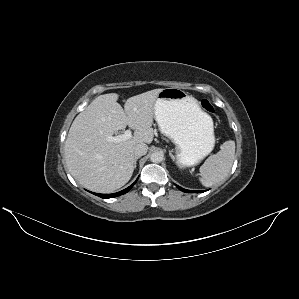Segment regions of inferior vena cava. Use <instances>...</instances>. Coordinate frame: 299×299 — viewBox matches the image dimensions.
<instances>
[{
	"instance_id": "obj_1",
	"label": "inferior vena cava",
	"mask_w": 299,
	"mask_h": 299,
	"mask_svg": "<svg viewBox=\"0 0 299 299\" xmlns=\"http://www.w3.org/2000/svg\"><path fill=\"white\" fill-rule=\"evenodd\" d=\"M147 151H148V146L146 144L142 143V144L135 146L134 155H135V157L143 156L147 153Z\"/></svg>"
}]
</instances>
